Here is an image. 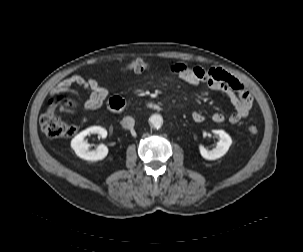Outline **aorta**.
Masks as SVG:
<instances>
[{
    "mask_svg": "<svg viewBox=\"0 0 303 252\" xmlns=\"http://www.w3.org/2000/svg\"><path fill=\"white\" fill-rule=\"evenodd\" d=\"M149 122H150L151 126H153L154 128H160L163 123V119H162L161 115L154 114L150 117Z\"/></svg>",
    "mask_w": 303,
    "mask_h": 252,
    "instance_id": "1",
    "label": "aorta"
}]
</instances>
